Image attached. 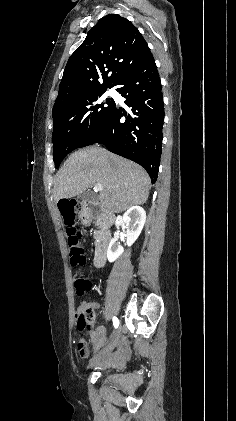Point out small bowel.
I'll use <instances>...</instances> for the list:
<instances>
[{
	"label": "small bowel",
	"instance_id": "c3829d8e",
	"mask_svg": "<svg viewBox=\"0 0 236 421\" xmlns=\"http://www.w3.org/2000/svg\"><path fill=\"white\" fill-rule=\"evenodd\" d=\"M83 305H88L90 307H97V304L94 303V302H84ZM98 335H99V331H93V332L90 333L91 340H92V342H93V344L96 348L100 347L105 341V338L103 336H102L101 341H97ZM87 354H88V352H87ZM87 354L84 357H86ZM115 355L116 354H111L110 356H115ZM96 361L99 362L100 358H98Z\"/></svg>",
	"mask_w": 236,
	"mask_h": 421
}]
</instances>
